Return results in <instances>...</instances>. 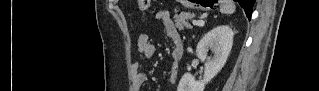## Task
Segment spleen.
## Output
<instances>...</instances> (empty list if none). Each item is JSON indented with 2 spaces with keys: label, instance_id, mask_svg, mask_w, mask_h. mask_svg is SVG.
Here are the masks:
<instances>
[{
  "label": "spleen",
  "instance_id": "obj_1",
  "mask_svg": "<svg viewBox=\"0 0 319 91\" xmlns=\"http://www.w3.org/2000/svg\"><path fill=\"white\" fill-rule=\"evenodd\" d=\"M236 6L231 0H221L220 1V12L222 14H233L235 12Z\"/></svg>",
  "mask_w": 319,
  "mask_h": 91
}]
</instances>
